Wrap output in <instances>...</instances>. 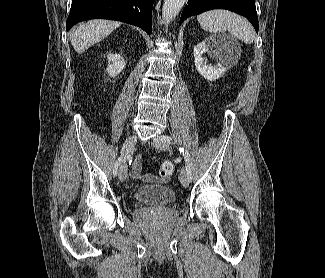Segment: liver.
Returning <instances> with one entry per match:
<instances>
[{"instance_id":"liver-1","label":"liver","mask_w":325,"mask_h":278,"mask_svg":"<svg viewBox=\"0 0 325 278\" xmlns=\"http://www.w3.org/2000/svg\"><path fill=\"white\" fill-rule=\"evenodd\" d=\"M121 25L120 22L108 20H90L75 27L70 32V41L74 50L81 54L91 45L101 41Z\"/></svg>"}]
</instances>
